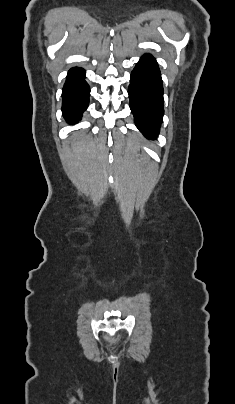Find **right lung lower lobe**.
<instances>
[{"instance_id":"1","label":"right lung lower lobe","mask_w":235,"mask_h":404,"mask_svg":"<svg viewBox=\"0 0 235 404\" xmlns=\"http://www.w3.org/2000/svg\"><path fill=\"white\" fill-rule=\"evenodd\" d=\"M85 70L72 68L63 87L62 113L67 122L73 124L81 119L82 113L88 106L89 86L84 80Z\"/></svg>"}]
</instances>
